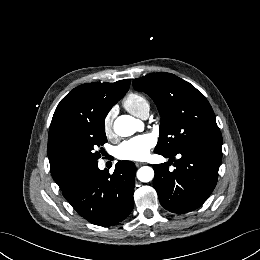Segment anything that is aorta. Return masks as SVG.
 Here are the masks:
<instances>
[{
  "instance_id": "obj_1",
  "label": "aorta",
  "mask_w": 260,
  "mask_h": 260,
  "mask_svg": "<svg viewBox=\"0 0 260 260\" xmlns=\"http://www.w3.org/2000/svg\"><path fill=\"white\" fill-rule=\"evenodd\" d=\"M139 121L130 115H121L114 121V132L121 137L133 135L138 128ZM141 182H149L154 178V170L149 166L139 168L136 174Z\"/></svg>"
}]
</instances>
